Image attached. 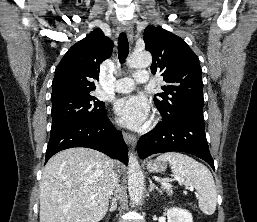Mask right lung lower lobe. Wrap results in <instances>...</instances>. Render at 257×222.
<instances>
[{
  "instance_id": "right-lung-lower-lobe-1",
  "label": "right lung lower lobe",
  "mask_w": 257,
  "mask_h": 222,
  "mask_svg": "<svg viewBox=\"0 0 257 222\" xmlns=\"http://www.w3.org/2000/svg\"><path fill=\"white\" fill-rule=\"evenodd\" d=\"M114 140L117 143H114ZM73 147L95 149L127 163L128 149L122 133L114 128L106 114L99 121L92 123L68 122L51 128L45 161L57 152Z\"/></svg>"
}]
</instances>
